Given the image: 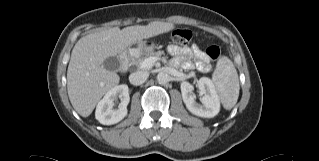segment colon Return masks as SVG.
I'll return each instance as SVG.
<instances>
[{
	"label": "colon",
	"instance_id": "obj_1",
	"mask_svg": "<svg viewBox=\"0 0 319 161\" xmlns=\"http://www.w3.org/2000/svg\"><path fill=\"white\" fill-rule=\"evenodd\" d=\"M172 39L179 44H186L192 39V32L189 29H178L172 33ZM205 55L211 59L216 60L220 56V48L217 45H210L205 49Z\"/></svg>",
	"mask_w": 319,
	"mask_h": 161
}]
</instances>
